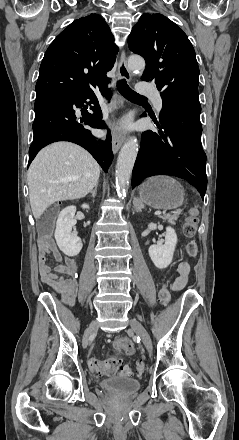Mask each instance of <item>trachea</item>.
<instances>
[{"label":"trachea","instance_id":"3493384b","mask_svg":"<svg viewBox=\"0 0 239 440\" xmlns=\"http://www.w3.org/2000/svg\"><path fill=\"white\" fill-rule=\"evenodd\" d=\"M116 85L121 95H123V97L127 98L128 100L134 101L136 103L146 101V97H143V95H139V93L134 92V90H132L126 83L125 79L117 81Z\"/></svg>","mask_w":239,"mask_h":440}]
</instances>
